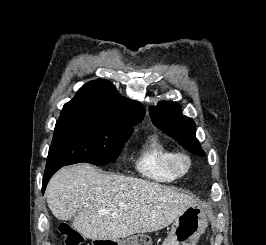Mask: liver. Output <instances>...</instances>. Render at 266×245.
<instances>
[{
  "instance_id": "1",
  "label": "liver",
  "mask_w": 266,
  "mask_h": 245,
  "mask_svg": "<svg viewBox=\"0 0 266 245\" xmlns=\"http://www.w3.org/2000/svg\"><path fill=\"white\" fill-rule=\"evenodd\" d=\"M45 197L59 221H70L77 213L74 229L93 241L161 231L188 207H196L190 195L143 179L103 175L88 163L60 169L50 179ZM101 209L108 213H99Z\"/></svg>"
}]
</instances>
